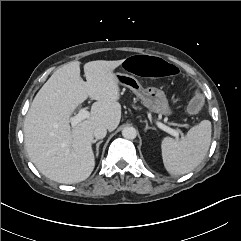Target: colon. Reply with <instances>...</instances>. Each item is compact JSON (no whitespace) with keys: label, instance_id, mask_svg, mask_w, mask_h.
<instances>
[{"label":"colon","instance_id":"5ec220e1","mask_svg":"<svg viewBox=\"0 0 241 241\" xmlns=\"http://www.w3.org/2000/svg\"><path fill=\"white\" fill-rule=\"evenodd\" d=\"M124 68L129 73H137L141 77H159L176 79L180 75V68L171 60L160 56L140 52L136 56H129L124 61ZM204 99L196 94L190 104L189 110L198 113L203 106Z\"/></svg>","mask_w":241,"mask_h":241}]
</instances>
